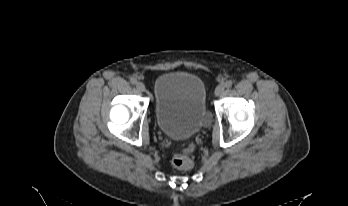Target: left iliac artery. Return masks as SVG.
Masks as SVG:
<instances>
[{
	"label": "left iliac artery",
	"instance_id": "left-iliac-artery-1",
	"mask_svg": "<svg viewBox=\"0 0 348 206\" xmlns=\"http://www.w3.org/2000/svg\"><path fill=\"white\" fill-rule=\"evenodd\" d=\"M225 87H226V88L232 87V81H231V80H227V81L225 82Z\"/></svg>",
	"mask_w": 348,
	"mask_h": 206
}]
</instances>
